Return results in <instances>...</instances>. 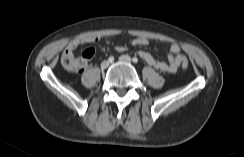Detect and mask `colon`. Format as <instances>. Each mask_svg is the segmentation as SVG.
I'll return each mask as SVG.
<instances>
[{"mask_svg":"<svg viewBox=\"0 0 244 157\" xmlns=\"http://www.w3.org/2000/svg\"><path fill=\"white\" fill-rule=\"evenodd\" d=\"M92 56L90 50H86L81 57L75 55L74 51L66 49L61 56V65L72 73H79L86 65L87 59ZM181 66L188 67V59L182 55Z\"/></svg>","mask_w":244,"mask_h":157,"instance_id":"1","label":"colon"}]
</instances>
